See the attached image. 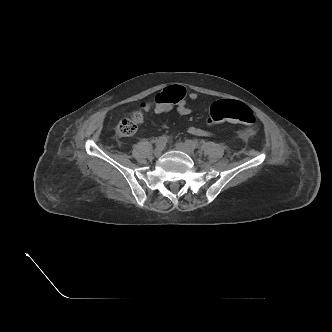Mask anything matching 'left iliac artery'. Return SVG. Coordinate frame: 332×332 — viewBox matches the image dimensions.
<instances>
[{
	"mask_svg": "<svg viewBox=\"0 0 332 332\" xmlns=\"http://www.w3.org/2000/svg\"><path fill=\"white\" fill-rule=\"evenodd\" d=\"M186 143L191 146L193 149L197 148V144L196 142L192 141V140H186Z\"/></svg>",
	"mask_w": 332,
	"mask_h": 332,
	"instance_id": "44dca946",
	"label": "left iliac artery"
}]
</instances>
